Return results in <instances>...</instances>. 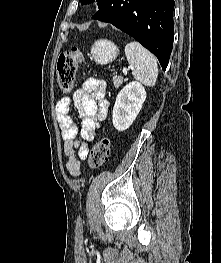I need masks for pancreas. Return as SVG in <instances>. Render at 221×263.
Wrapping results in <instances>:
<instances>
[{"mask_svg": "<svg viewBox=\"0 0 221 263\" xmlns=\"http://www.w3.org/2000/svg\"><path fill=\"white\" fill-rule=\"evenodd\" d=\"M124 82V78L122 77H117V76H114L113 77V84L116 88H118L122 83Z\"/></svg>", "mask_w": 221, "mask_h": 263, "instance_id": "1", "label": "pancreas"}]
</instances>
